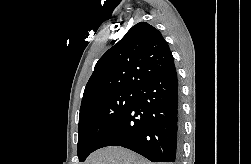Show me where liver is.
Returning a JSON list of instances; mask_svg holds the SVG:
<instances>
[{
	"instance_id": "6515ba94",
	"label": "liver",
	"mask_w": 251,
	"mask_h": 164,
	"mask_svg": "<svg viewBox=\"0 0 251 164\" xmlns=\"http://www.w3.org/2000/svg\"><path fill=\"white\" fill-rule=\"evenodd\" d=\"M84 164H151L123 147H105L92 153Z\"/></svg>"
}]
</instances>
